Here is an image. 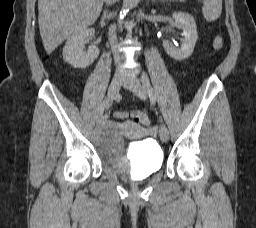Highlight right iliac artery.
I'll use <instances>...</instances> for the list:
<instances>
[{"instance_id": "right-iliac-artery-1", "label": "right iliac artery", "mask_w": 256, "mask_h": 228, "mask_svg": "<svg viewBox=\"0 0 256 228\" xmlns=\"http://www.w3.org/2000/svg\"><path fill=\"white\" fill-rule=\"evenodd\" d=\"M109 106V99H105L100 106L99 113L97 115V120H100L103 117L104 109Z\"/></svg>"}]
</instances>
